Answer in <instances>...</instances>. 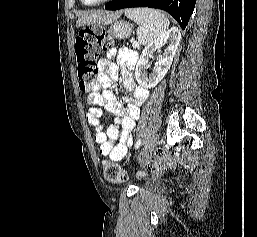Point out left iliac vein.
Segmentation results:
<instances>
[{"instance_id": "4c4485c4", "label": "left iliac vein", "mask_w": 257, "mask_h": 237, "mask_svg": "<svg viewBox=\"0 0 257 237\" xmlns=\"http://www.w3.org/2000/svg\"><path fill=\"white\" fill-rule=\"evenodd\" d=\"M159 136L153 135L145 144V146L141 149V151L138 154V160L143 161L148 158L150 153L153 151L155 146L158 144Z\"/></svg>"}]
</instances>
